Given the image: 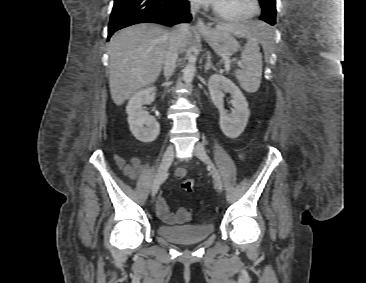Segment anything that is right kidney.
I'll return each mask as SVG.
<instances>
[{"instance_id":"1","label":"right kidney","mask_w":366,"mask_h":283,"mask_svg":"<svg viewBox=\"0 0 366 283\" xmlns=\"http://www.w3.org/2000/svg\"><path fill=\"white\" fill-rule=\"evenodd\" d=\"M155 87L139 90L130 99L126 107L130 131L141 142L154 141L160 132V125L155 117L149 116L144 110V105L153 101L152 93Z\"/></svg>"}]
</instances>
